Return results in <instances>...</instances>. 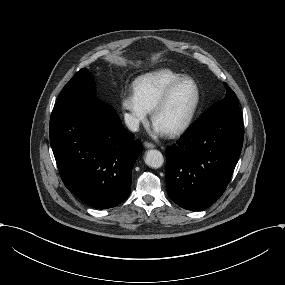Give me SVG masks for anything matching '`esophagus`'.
<instances>
[{
    "instance_id": "obj_1",
    "label": "esophagus",
    "mask_w": 285,
    "mask_h": 285,
    "mask_svg": "<svg viewBox=\"0 0 285 285\" xmlns=\"http://www.w3.org/2000/svg\"><path fill=\"white\" fill-rule=\"evenodd\" d=\"M144 147L148 148V149H152L155 147V144L149 142V141H145L144 142Z\"/></svg>"
}]
</instances>
